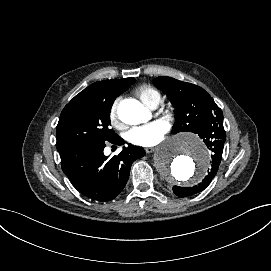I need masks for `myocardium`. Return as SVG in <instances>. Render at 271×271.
<instances>
[{
    "label": "myocardium",
    "instance_id": "myocardium-1",
    "mask_svg": "<svg viewBox=\"0 0 271 271\" xmlns=\"http://www.w3.org/2000/svg\"><path fill=\"white\" fill-rule=\"evenodd\" d=\"M164 114L170 119L173 117V112L171 110L164 111Z\"/></svg>",
    "mask_w": 271,
    "mask_h": 271
}]
</instances>
